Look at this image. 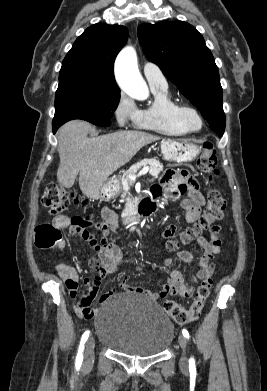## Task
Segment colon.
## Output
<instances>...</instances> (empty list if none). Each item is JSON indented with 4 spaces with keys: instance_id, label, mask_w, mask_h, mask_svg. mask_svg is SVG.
Segmentation results:
<instances>
[{
    "instance_id": "5ec220e1",
    "label": "colon",
    "mask_w": 267,
    "mask_h": 391,
    "mask_svg": "<svg viewBox=\"0 0 267 391\" xmlns=\"http://www.w3.org/2000/svg\"><path fill=\"white\" fill-rule=\"evenodd\" d=\"M216 163L215 149L212 143L206 142L202 153L197 159V168L201 173L207 174L209 180H212L219 173ZM84 202L85 200L75 191L68 190L57 183L48 184L41 199L42 206L53 215L61 213L72 205H83ZM225 207L226 201L222 194L216 189L210 190L203 214L192 226L183 230L178 238H170L167 242L168 249L174 250L180 244L188 243L204 232L212 233L216 227L214 223L223 217ZM80 219L86 220L90 224L94 223L96 229L102 235L100 240H91V244L96 250L105 249L114 243L108 227L102 221L95 220L91 215L85 218L80 217ZM60 238L61 233L59 229L51 224H41L35 230V243L40 248H52L59 242ZM212 285V277L204 279L197 288L195 297L188 307H184L173 300H167L164 302L163 308L178 324L193 322L199 318Z\"/></svg>"
}]
</instances>
